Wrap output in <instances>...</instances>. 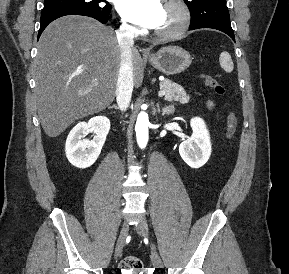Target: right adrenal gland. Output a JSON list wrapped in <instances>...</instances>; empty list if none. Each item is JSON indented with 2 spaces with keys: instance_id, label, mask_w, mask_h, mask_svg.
<instances>
[{
  "instance_id": "obj_1",
  "label": "right adrenal gland",
  "mask_w": 289,
  "mask_h": 274,
  "mask_svg": "<svg viewBox=\"0 0 289 274\" xmlns=\"http://www.w3.org/2000/svg\"><path fill=\"white\" fill-rule=\"evenodd\" d=\"M113 108H114V109H118V107H117L116 105H113V106H109V107H108V109H113Z\"/></svg>"
}]
</instances>
